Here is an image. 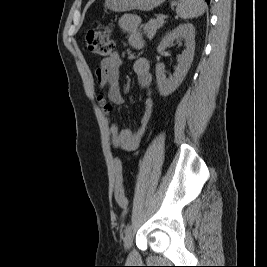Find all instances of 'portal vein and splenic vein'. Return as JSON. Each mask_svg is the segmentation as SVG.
Masks as SVG:
<instances>
[{
    "label": "portal vein and splenic vein",
    "instance_id": "1",
    "mask_svg": "<svg viewBox=\"0 0 267 267\" xmlns=\"http://www.w3.org/2000/svg\"><path fill=\"white\" fill-rule=\"evenodd\" d=\"M158 17H159L160 19H164L166 16H165L164 14H160Z\"/></svg>",
    "mask_w": 267,
    "mask_h": 267
}]
</instances>
